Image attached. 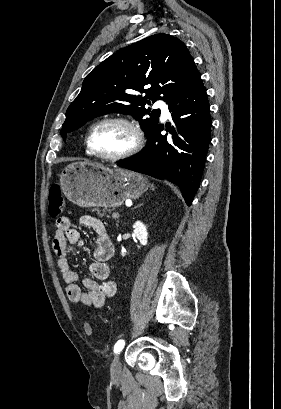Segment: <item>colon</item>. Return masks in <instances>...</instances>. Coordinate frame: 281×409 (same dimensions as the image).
Wrapping results in <instances>:
<instances>
[{
  "label": "colon",
  "instance_id": "1",
  "mask_svg": "<svg viewBox=\"0 0 281 409\" xmlns=\"http://www.w3.org/2000/svg\"><path fill=\"white\" fill-rule=\"evenodd\" d=\"M63 207L64 201L61 186L59 184L51 185L49 189V214L53 217H57L62 213ZM83 328L86 329L85 332L89 336L94 332L89 322H84Z\"/></svg>",
  "mask_w": 281,
  "mask_h": 409
}]
</instances>
